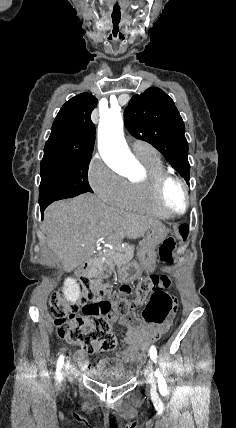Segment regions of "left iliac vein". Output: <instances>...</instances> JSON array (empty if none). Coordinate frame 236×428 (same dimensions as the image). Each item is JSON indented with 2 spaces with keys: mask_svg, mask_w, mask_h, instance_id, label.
I'll return each mask as SVG.
<instances>
[{
  "mask_svg": "<svg viewBox=\"0 0 236 428\" xmlns=\"http://www.w3.org/2000/svg\"><path fill=\"white\" fill-rule=\"evenodd\" d=\"M153 363H152V361H149V363L144 367V370L147 372V373H150L152 370H153Z\"/></svg>",
  "mask_w": 236,
  "mask_h": 428,
  "instance_id": "1",
  "label": "left iliac vein"
}]
</instances>
